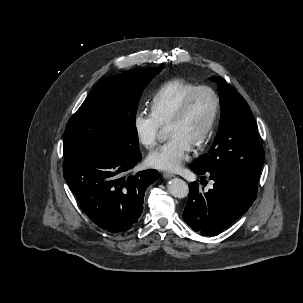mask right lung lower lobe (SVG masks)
<instances>
[{
    "mask_svg": "<svg viewBox=\"0 0 303 303\" xmlns=\"http://www.w3.org/2000/svg\"><path fill=\"white\" fill-rule=\"evenodd\" d=\"M140 158L125 157L100 143L84 145L65 156L64 178L82 210L111 233L126 232L136 225L144 193L159 178L156 170L124 177Z\"/></svg>",
    "mask_w": 303,
    "mask_h": 303,
    "instance_id": "obj_1",
    "label": "right lung lower lobe"
}]
</instances>
